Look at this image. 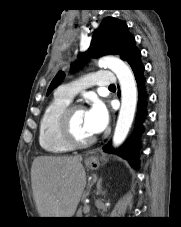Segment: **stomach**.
<instances>
[{
  "label": "stomach",
  "instance_id": "obj_1",
  "mask_svg": "<svg viewBox=\"0 0 181 227\" xmlns=\"http://www.w3.org/2000/svg\"><path fill=\"white\" fill-rule=\"evenodd\" d=\"M103 160V157L97 155H91L85 159V165L90 170H97L100 166V161Z\"/></svg>",
  "mask_w": 181,
  "mask_h": 227
}]
</instances>
